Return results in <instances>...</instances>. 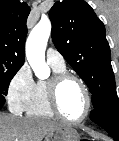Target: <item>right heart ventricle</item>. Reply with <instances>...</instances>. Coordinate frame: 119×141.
Here are the masks:
<instances>
[{"mask_svg": "<svg viewBox=\"0 0 119 141\" xmlns=\"http://www.w3.org/2000/svg\"><path fill=\"white\" fill-rule=\"evenodd\" d=\"M50 66L54 73L66 71L65 66H55L52 64ZM47 82L46 80H39L35 83L33 95L25 110L28 117L47 119L54 117L47 100Z\"/></svg>", "mask_w": 119, "mask_h": 141, "instance_id": "e07e8e85", "label": "right heart ventricle"}]
</instances>
